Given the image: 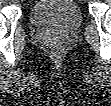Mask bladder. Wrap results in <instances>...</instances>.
<instances>
[{"label":"bladder","instance_id":"obj_1","mask_svg":"<svg viewBox=\"0 0 111 106\" xmlns=\"http://www.w3.org/2000/svg\"><path fill=\"white\" fill-rule=\"evenodd\" d=\"M29 19L36 27L68 33L81 26L83 15L73 0H38L30 9Z\"/></svg>","mask_w":111,"mask_h":106}]
</instances>
